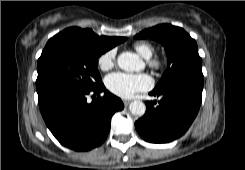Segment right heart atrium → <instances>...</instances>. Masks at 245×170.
Returning <instances> with one entry per match:
<instances>
[{"label": "right heart atrium", "instance_id": "d8ad5b80", "mask_svg": "<svg viewBox=\"0 0 245 170\" xmlns=\"http://www.w3.org/2000/svg\"><path fill=\"white\" fill-rule=\"evenodd\" d=\"M115 61L116 51L114 49H110L98 58V66L101 70L106 71L114 66Z\"/></svg>", "mask_w": 245, "mask_h": 170}]
</instances>
